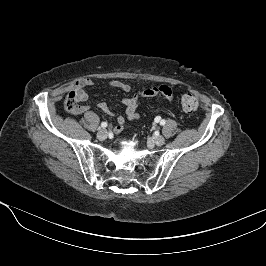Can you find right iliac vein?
I'll list each match as a JSON object with an SVG mask.
<instances>
[{"label":"right iliac vein","instance_id":"63e3f726","mask_svg":"<svg viewBox=\"0 0 266 266\" xmlns=\"http://www.w3.org/2000/svg\"><path fill=\"white\" fill-rule=\"evenodd\" d=\"M97 138L99 140H105L107 138V131L105 129H100L97 133Z\"/></svg>","mask_w":266,"mask_h":266}]
</instances>
